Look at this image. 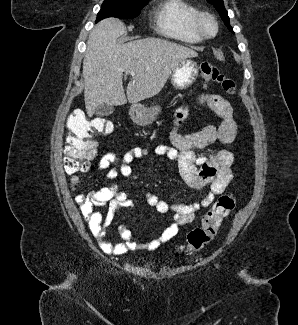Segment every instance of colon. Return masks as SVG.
<instances>
[{
    "mask_svg": "<svg viewBox=\"0 0 298 325\" xmlns=\"http://www.w3.org/2000/svg\"><path fill=\"white\" fill-rule=\"evenodd\" d=\"M201 77L206 83H219L227 93H234L235 81L226 77L210 62L200 64ZM67 134L63 165L68 177L85 171L89 160L96 151L95 135L110 134L113 124L105 118H89L83 111H75L67 119ZM236 206V199L231 194L220 196L212 207L202 216L201 225L187 235L186 243L180 251L191 254L203 249L210 243L223 221L230 215Z\"/></svg>",
    "mask_w": 298,
    "mask_h": 325,
    "instance_id": "5ec220e1",
    "label": "colon"
}]
</instances>
